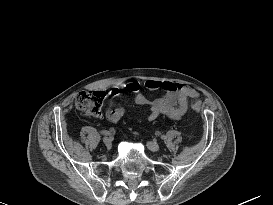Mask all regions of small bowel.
Returning <instances> with one entry per match:
<instances>
[{
	"instance_id": "small-bowel-1",
	"label": "small bowel",
	"mask_w": 273,
	"mask_h": 205,
	"mask_svg": "<svg viewBox=\"0 0 273 205\" xmlns=\"http://www.w3.org/2000/svg\"><path fill=\"white\" fill-rule=\"evenodd\" d=\"M147 90L163 89L165 94L155 99H149L141 92V83L136 80H129L125 88L133 93V100L136 104L149 107L148 120H154L160 115L178 120L187 112L190 103L196 100L199 93L186 85L175 82H159L147 80L144 83ZM119 89L113 88L109 91L108 108L105 117L110 122H118L126 110L117 101Z\"/></svg>"
}]
</instances>
